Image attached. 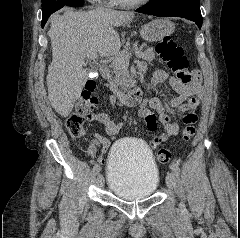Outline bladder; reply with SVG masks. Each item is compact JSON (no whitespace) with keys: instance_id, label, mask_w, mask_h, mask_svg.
<instances>
[{"instance_id":"31cf9c89","label":"bladder","mask_w":240,"mask_h":238,"mask_svg":"<svg viewBox=\"0 0 240 238\" xmlns=\"http://www.w3.org/2000/svg\"><path fill=\"white\" fill-rule=\"evenodd\" d=\"M106 171L109 189L124 200L148 198L159 184V169L153 153L132 139L122 140L112 147Z\"/></svg>"}]
</instances>
